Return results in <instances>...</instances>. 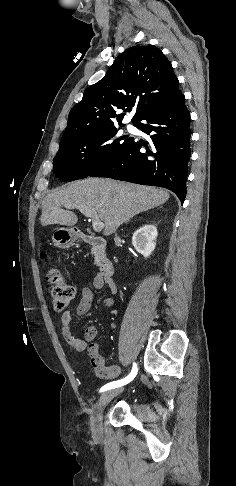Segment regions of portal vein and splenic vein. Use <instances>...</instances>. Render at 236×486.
I'll list each match as a JSON object with an SVG mask.
<instances>
[{"label":"portal vein and splenic vein","instance_id":"18ae733b","mask_svg":"<svg viewBox=\"0 0 236 486\" xmlns=\"http://www.w3.org/2000/svg\"><path fill=\"white\" fill-rule=\"evenodd\" d=\"M68 209H71V206H65ZM81 213H83L86 217H89L92 219V226L93 230L96 232L101 231L104 228V223L99 219L95 209L92 208H85V209H79Z\"/></svg>","mask_w":236,"mask_h":486}]
</instances>
